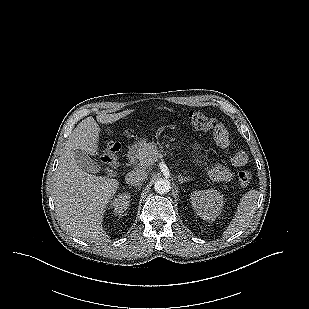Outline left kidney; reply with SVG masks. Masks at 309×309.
I'll return each instance as SVG.
<instances>
[{
	"mask_svg": "<svg viewBox=\"0 0 309 309\" xmlns=\"http://www.w3.org/2000/svg\"><path fill=\"white\" fill-rule=\"evenodd\" d=\"M191 203L197 215L203 220L213 222L220 214L224 198L217 190H201L191 193Z\"/></svg>",
	"mask_w": 309,
	"mask_h": 309,
	"instance_id": "5707ae66",
	"label": "left kidney"
}]
</instances>
